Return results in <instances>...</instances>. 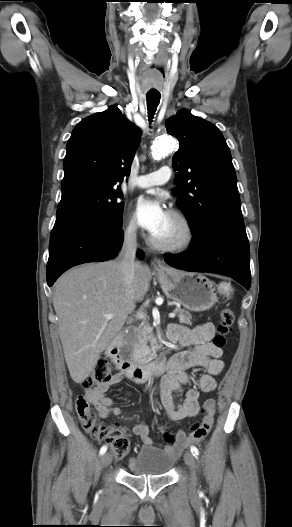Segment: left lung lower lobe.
Returning a JSON list of instances; mask_svg holds the SVG:
<instances>
[{
    "instance_id": "1",
    "label": "left lung lower lobe",
    "mask_w": 292,
    "mask_h": 527,
    "mask_svg": "<svg viewBox=\"0 0 292 527\" xmlns=\"http://www.w3.org/2000/svg\"><path fill=\"white\" fill-rule=\"evenodd\" d=\"M250 253L245 227L225 225L193 235L187 251L165 254V262L187 271L229 276L250 288Z\"/></svg>"
}]
</instances>
